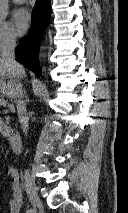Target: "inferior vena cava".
I'll list each match as a JSON object with an SVG mask.
<instances>
[{
  "instance_id": "1",
  "label": "inferior vena cava",
  "mask_w": 128,
  "mask_h": 213,
  "mask_svg": "<svg viewBox=\"0 0 128 213\" xmlns=\"http://www.w3.org/2000/svg\"><path fill=\"white\" fill-rule=\"evenodd\" d=\"M15 37L8 35L5 37L2 44L1 59L9 67L10 74L14 78V85L10 92L11 98L17 106L18 119L22 130L27 135L28 131V117L26 113V105L23 100V89L21 84V77L23 73L22 66L15 60Z\"/></svg>"
}]
</instances>
